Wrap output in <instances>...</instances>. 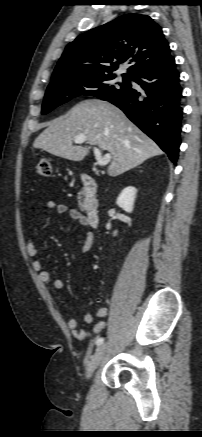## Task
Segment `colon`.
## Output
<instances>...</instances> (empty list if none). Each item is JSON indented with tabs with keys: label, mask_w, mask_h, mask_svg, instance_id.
I'll list each match as a JSON object with an SVG mask.
<instances>
[{
	"label": "colon",
	"mask_w": 202,
	"mask_h": 437,
	"mask_svg": "<svg viewBox=\"0 0 202 437\" xmlns=\"http://www.w3.org/2000/svg\"><path fill=\"white\" fill-rule=\"evenodd\" d=\"M36 173L43 177H48L52 173V162L50 158L44 157L36 165Z\"/></svg>",
	"instance_id": "5ec220e1"
}]
</instances>
